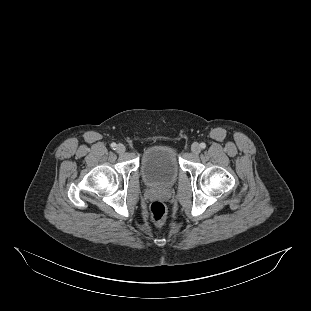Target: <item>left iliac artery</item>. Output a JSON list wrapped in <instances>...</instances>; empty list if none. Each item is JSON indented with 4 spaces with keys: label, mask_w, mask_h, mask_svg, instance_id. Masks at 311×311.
Returning a JSON list of instances; mask_svg holds the SVG:
<instances>
[{
    "label": "left iliac artery",
    "mask_w": 311,
    "mask_h": 311,
    "mask_svg": "<svg viewBox=\"0 0 311 311\" xmlns=\"http://www.w3.org/2000/svg\"><path fill=\"white\" fill-rule=\"evenodd\" d=\"M200 147H201L202 149H204V148L206 147V144H205L204 142H202V143L200 144Z\"/></svg>",
    "instance_id": "44dca946"
}]
</instances>
